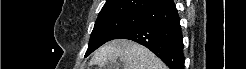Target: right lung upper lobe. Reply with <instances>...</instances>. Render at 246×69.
<instances>
[{
	"instance_id": "cb5924a9",
	"label": "right lung upper lobe",
	"mask_w": 246,
	"mask_h": 69,
	"mask_svg": "<svg viewBox=\"0 0 246 69\" xmlns=\"http://www.w3.org/2000/svg\"><path fill=\"white\" fill-rule=\"evenodd\" d=\"M170 0H107L98 15V19L118 15H142L147 10Z\"/></svg>"
}]
</instances>
